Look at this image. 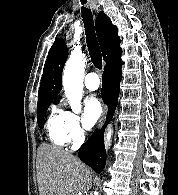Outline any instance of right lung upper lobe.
Instances as JSON below:
<instances>
[{"label":"right lung upper lobe","instance_id":"1","mask_svg":"<svg viewBox=\"0 0 178 195\" xmlns=\"http://www.w3.org/2000/svg\"><path fill=\"white\" fill-rule=\"evenodd\" d=\"M96 33L102 50L105 70L122 65L120 38L117 27L101 11L96 18ZM68 57V49L62 38L56 39L49 50L38 93V104L53 101L62 89V71Z\"/></svg>","mask_w":178,"mask_h":195}]
</instances>
